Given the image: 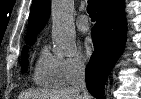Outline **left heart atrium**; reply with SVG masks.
Returning <instances> with one entry per match:
<instances>
[{"mask_svg": "<svg viewBox=\"0 0 141 99\" xmlns=\"http://www.w3.org/2000/svg\"><path fill=\"white\" fill-rule=\"evenodd\" d=\"M84 50L87 55H90L93 51V42L90 38H86L83 43Z\"/></svg>", "mask_w": 141, "mask_h": 99, "instance_id": "left-heart-atrium-1", "label": "left heart atrium"}]
</instances>
